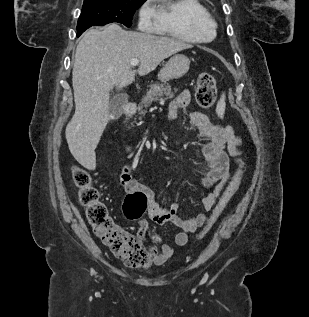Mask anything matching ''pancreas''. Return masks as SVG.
<instances>
[{
	"label": "pancreas",
	"mask_w": 309,
	"mask_h": 317,
	"mask_svg": "<svg viewBox=\"0 0 309 317\" xmlns=\"http://www.w3.org/2000/svg\"><path fill=\"white\" fill-rule=\"evenodd\" d=\"M173 95L174 94L171 91V86L168 83H154L150 85V89L142 98V101L138 107L139 115L144 116L146 114V109L152 104L153 101H156L160 98H172Z\"/></svg>",
	"instance_id": "1"
}]
</instances>
